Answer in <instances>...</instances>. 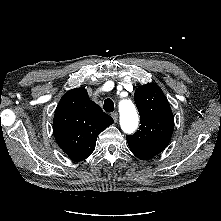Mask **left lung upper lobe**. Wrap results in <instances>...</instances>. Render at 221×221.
<instances>
[{
  "mask_svg": "<svg viewBox=\"0 0 221 221\" xmlns=\"http://www.w3.org/2000/svg\"><path fill=\"white\" fill-rule=\"evenodd\" d=\"M134 99L141 125L135 134L126 136V139L137 158L148 160L169 144L174 129V117L163 91L154 83L138 87Z\"/></svg>",
  "mask_w": 221,
  "mask_h": 221,
  "instance_id": "left-lung-upper-lobe-1",
  "label": "left lung upper lobe"
}]
</instances>
